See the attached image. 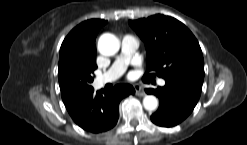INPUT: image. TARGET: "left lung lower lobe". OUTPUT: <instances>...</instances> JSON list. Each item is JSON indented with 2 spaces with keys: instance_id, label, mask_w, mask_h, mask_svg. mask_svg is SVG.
Masks as SVG:
<instances>
[{
  "instance_id": "obj_1",
  "label": "left lung lower lobe",
  "mask_w": 247,
  "mask_h": 145,
  "mask_svg": "<svg viewBox=\"0 0 247 145\" xmlns=\"http://www.w3.org/2000/svg\"><path fill=\"white\" fill-rule=\"evenodd\" d=\"M165 86L145 89L146 93L159 97L160 105L151 120L161 127H172L182 122L193 111L202 85L182 78L165 79Z\"/></svg>"
}]
</instances>
